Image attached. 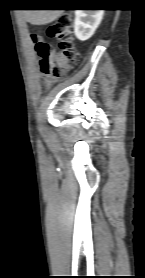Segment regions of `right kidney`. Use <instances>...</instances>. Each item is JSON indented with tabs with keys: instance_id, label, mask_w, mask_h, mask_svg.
<instances>
[{
	"instance_id": "obj_1",
	"label": "right kidney",
	"mask_w": 145,
	"mask_h": 278,
	"mask_svg": "<svg viewBox=\"0 0 145 278\" xmlns=\"http://www.w3.org/2000/svg\"><path fill=\"white\" fill-rule=\"evenodd\" d=\"M104 10H75L74 33L81 40L94 34L103 18Z\"/></svg>"
}]
</instances>
